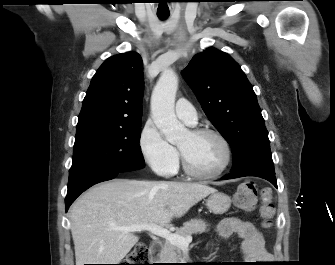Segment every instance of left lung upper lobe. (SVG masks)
I'll return each mask as SVG.
<instances>
[{"instance_id":"left-lung-upper-lobe-1","label":"left lung upper lobe","mask_w":335,"mask_h":265,"mask_svg":"<svg viewBox=\"0 0 335 265\" xmlns=\"http://www.w3.org/2000/svg\"><path fill=\"white\" fill-rule=\"evenodd\" d=\"M182 74L211 123L231 146L233 168L275 174L256 94L240 66L214 48L195 55Z\"/></svg>"}]
</instances>
